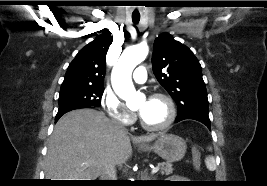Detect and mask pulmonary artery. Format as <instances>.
<instances>
[{
  "label": "pulmonary artery",
  "mask_w": 267,
  "mask_h": 186,
  "mask_svg": "<svg viewBox=\"0 0 267 186\" xmlns=\"http://www.w3.org/2000/svg\"><path fill=\"white\" fill-rule=\"evenodd\" d=\"M133 79L138 83H143L147 79V71L144 66H139L133 72Z\"/></svg>",
  "instance_id": "1"
}]
</instances>
